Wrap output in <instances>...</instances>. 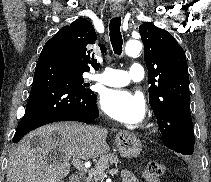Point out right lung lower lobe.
<instances>
[{"mask_svg": "<svg viewBox=\"0 0 211 182\" xmlns=\"http://www.w3.org/2000/svg\"><path fill=\"white\" fill-rule=\"evenodd\" d=\"M99 117L96 94L82 89L64 47L49 40L39 56L25 115L13 142L42 125L57 121L93 123Z\"/></svg>", "mask_w": 211, "mask_h": 182, "instance_id": "98d812e1", "label": "right lung lower lobe"}]
</instances>
